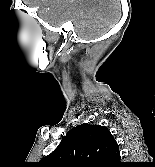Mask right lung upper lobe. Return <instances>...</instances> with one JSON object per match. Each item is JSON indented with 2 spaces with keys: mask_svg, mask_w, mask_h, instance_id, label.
Returning a JSON list of instances; mask_svg holds the SVG:
<instances>
[{
  "mask_svg": "<svg viewBox=\"0 0 155 167\" xmlns=\"http://www.w3.org/2000/svg\"><path fill=\"white\" fill-rule=\"evenodd\" d=\"M40 163L42 167H116L121 162L111 132L100 125L83 124L72 128Z\"/></svg>",
  "mask_w": 155,
  "mask_h": 167,
  "instance_id": "1",
  "label": "right lung upper lobe"
}]
</instances>
